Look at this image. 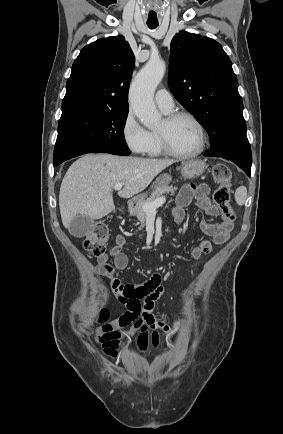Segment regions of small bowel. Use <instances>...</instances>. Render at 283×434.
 I'll return each mask as SVG.
<instances>
[{
	"label": "small bowel",
	"instance_id": "small-bowel-1",
	"mask_svg": "<svg viewBox=\"0 0 283 434\" xmlns=\"http://www.w3.org/2000/svg\"><path fill=\"white\" fill-rule=\"evenodd\" d=\"M193 199L206 215L216 217L218 209L211 203L209 187L206 184H188L181 188L176 202L171 209V215L177 223L184 219V209ZM202 232L211 237L216 244H224L230 238L233 222L222 221L220 223H201ZM126 239L123 235L116 236L115 244L109 254L98 257L96 270L102 275L111 278L112 288L118 300L123 303L127 310L117 319L104 324L95 330V339L102 344L103 353L107 356L117 357L119 349L125 340L137 335V347L139 352H145L149 345L157 346L159 343V331L170 334L172 330L154 317L152 310L156 300L163 293L161 276L154 274L142 287L135 288L123 283L117 277V272L128 266V257L123 252ZM212 244L208 239H201L191 249L194 259L210 254ZM110 257L113 262H110ZM143 299V303L140 302ZM130 325L129 329L123 328Z\"/></svg>",
	"mask_w": 283,
	"mask_h": 434
}]
</instances>
